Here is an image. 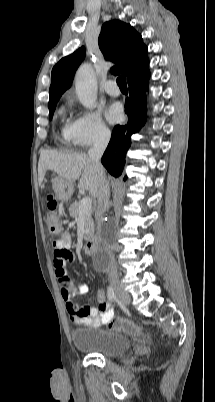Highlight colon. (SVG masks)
Instances as JSON below:
<instances>
[{"label":"colon","instance_id":"5ec220e1","mask_svg":"<svg viewBox=\"0 0 215 402\" xmlns=\"http://www.w3.org/2000/svg\"><path fill=\"white\" fill-rule=\"evenodd\" d=\"M56 210L57 202L49 195L47 197V226L49 231L54 234L58 233L60 230ZM109 327L112 330L122 331L132 336H140L142 334V329L138 325L123 318L112 319L109 323Z\"/></svg>","mask_w":215,"mask_h":402}]
</instances>
